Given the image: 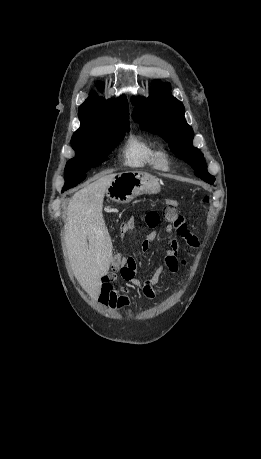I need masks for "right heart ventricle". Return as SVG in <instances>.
Returning <instances> with one entry per match:
<instances>
[{
	"label": "right heart ventricle",
	"mask_w": 261,
	"mask_h": 459,
	"mask_svg": "<svg viewBox=\"0 0 261 459\" xmlns=\"http://www.w3.org/2000/svg\"><path fill=\"white\" fill-rule=\"evenodd\" d=\"M159 148L149 139L130 135L122 149V161L131 168L158 169L156 156Z\"/></svg>",
	"instance_id": "right-heart-ventricle-1"
}]
</instances>
